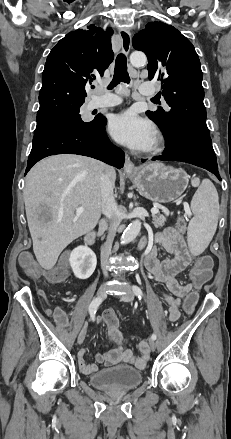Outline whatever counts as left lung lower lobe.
<instances>
[{
    "label": "left lung lower lobe",
    "mask_w": 231,
    "mask_h": 439,
    "mask_svg": "<svg viewBox=\"0 0 231 439\" xmlns=\"http://www.w3.org/2000/svg\"><path fill=\"white\" fill-rule=\"evenodd\" d=\"M165 140L166 148L163 155L155 156L152 160L190 163L210 171L221 180L210 135L189 129H178L165 137ZM141 161L145 162L146 159Z\"/></svg>",
    "instance_id": "left-lung-lower-lobe-1"
}]
</instances>
